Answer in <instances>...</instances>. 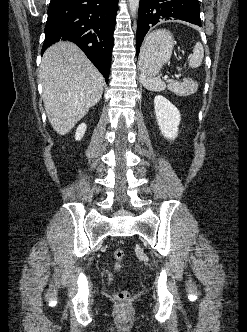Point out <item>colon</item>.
I'll return each instance as SVG.
<instances>
[{
	"instance_id": "1",
	"label": "colon",
	"mask_w": 247,
	"mask_h": 332,
	"mask_svg": "<svg viewBox=\"0 0 247 332\" xmlns=\"http://www.w3.org/2000/svg\"><path fill=\"white\" fill-rule=\"evenodd\" d=\"M124 250L121 249V248H116L114 251H113V257L115 259V267L116 269H119L121 267V263L124 259ZM116 299L121 302V303H126L129 301L130 299V294L127 290H119L117 293H116Z\"/></svg>"
}]
</instances>
